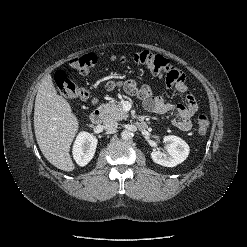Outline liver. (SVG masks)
I'll return each mask as SVG.
<instances>
[{
    "instance_id": "obj_1",
    "label": "liver",
    "mask_w": 247,
    "mask_h": 247,
    "mask_svg": "<svg viewBox=\"0 0 247 247\" xmlns=\"http://www.w3.org/2000/svg\"><path fill=\"white\" fill-rule=\"evenodd\" d=\"M78 128L69 102L57 94L52 77L46 75L35 99L34 130L44 157L60 170L75 169L69 151Z\"/></svg>"
}]
</instances>
